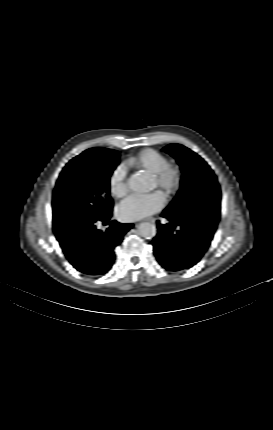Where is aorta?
I'll use <instances>...</instances> for the list:
<instances>
[{
    "label": "aorta",
    "instance_id": "1",
    "mask_svg": "<svg viewBox=\"0 0 273 430\" xmlns=\"http://www.w3.org/2000/svg\"><path fill=\"white\" fill-rule=\"evenodd\" d=\"M129 188L139 194L147 193L153 189V181L148 177L133 175L128 179ZM139 234L147 239L155 237L157 233L156 226L151 223L143 222L138 226Z\"/></svg>",
    "mask_w": 273,
    "mask_h": 430
}]
</instances>
